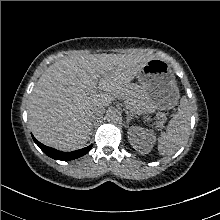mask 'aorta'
Masks as SVG:
<instances>
[{"mask_svg": "<svg viewBox=\"0 0 220 220\" xmlns=\"http://www.w3.org/2000/svg\"><path fill=\"white\" fill-rule=\"evenodd\" d=\"M118 118H119V115H118V113H117L116 111H114V110L109 111V112L107 113V119H108V121L115 122V121L118 120Z\"/></svg>", "mask_w": 220, "mask_h": 220, "instance_id": "aorta-1", "label": "aorta"}]
</instances>
